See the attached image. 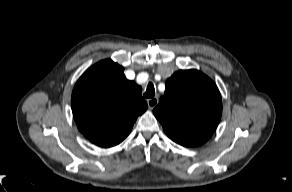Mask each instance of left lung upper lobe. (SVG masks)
Instances as JSON below:
<instances>
[{
    "instance_id": "5c2ea615",
    "label": "left lung upper lobe",
    "mask_w": 292,
    "mask_h": 192,
    "mask_svg": "<svg viewBox=\"0 0 292 192\" xmlns=\"http://www.w3.org/2000/svg\"><path fill=\"white\" fill-rule=\"evenodd\" d=\"M153 113L170 139L185 147L204 144L216 130L222 100L216 84L198 70H181L167 79Z\"/></svg>"
}]
</instances>
